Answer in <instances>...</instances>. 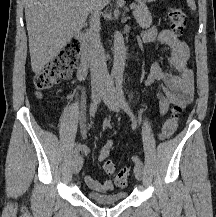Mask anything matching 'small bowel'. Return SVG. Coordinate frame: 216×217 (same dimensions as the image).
<instances>
[{
    "label": "small bowel",
    "mask_w": 216,
    "mask_h": 217,
    "mask_svg": "<svg viewBox=\"0 0 216 217\" xmlns=\"http://www.w3.org/2000/svg\"><path fill=\"white\" fill-rule=\"evenodd\" d=\"M158 38L159 42L169 52V65L173 72L165 71L159 61H155L151 66L150 73L146 78L144 85L150 87L157 86L156 96L159 101V117H165L171 105L186 107L193 101L194 97V72L190 67V49L189 46L179 39L170 30L164 29L160 32L152 27L141 34L143 41H153ZM79 78L83 80L86 72L79 71ZM79 149L85 155L90 153L89 148L84 144H78ZM113 140L108 139L102 146L98 162L104 163L109 159ZM107 174H111L106 172ZM86 184L96 191L107 192L113 187L111 180L98 181L91 175L84 176Z\"/></svg>",
    "instance_id": "1"
}]
</instances>
